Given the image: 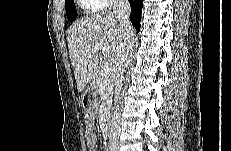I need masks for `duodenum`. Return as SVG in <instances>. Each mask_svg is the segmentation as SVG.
I'll list each match as a JSON object with an SVG mask.
<instances>
[{
  "instance_id": "410a0bca",
  "label": "duodenum",
  "mask_w": 231,
  "mask_h": 151,
  "mask_svg": "<svg viewBox=\"0 0 231 151\" xmlns=\"http://www.w3.org/2000/svg\"><path fill=\"white\" fill-rule=\"evenodd\" d=\"M109 118V107L106 105L103 110V115H102V125L105 127L107 125Z\"/></svg>"
}]
</instances>
